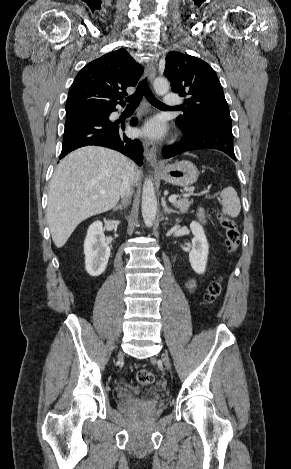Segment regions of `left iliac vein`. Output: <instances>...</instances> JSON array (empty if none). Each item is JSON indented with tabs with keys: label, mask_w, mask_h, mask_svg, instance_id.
<instances>
[{
	"label": "left iliac vein",
	"mask_w": 291,
	"mask_h": 469,
	"mask_svg": "<svg viewBox=\"0 0 291 469\" xmlns=\"http://www.w3.org/2000/svg\"><path fill=\"white\" fill-rule=\"evenodd\" d=\"M163 360H164L165 366L167 367V369H169L170 368V362H169L168 356L165 355Z\"/></svg>",
	"instance_id": "obj_1"
}]
</instances>
